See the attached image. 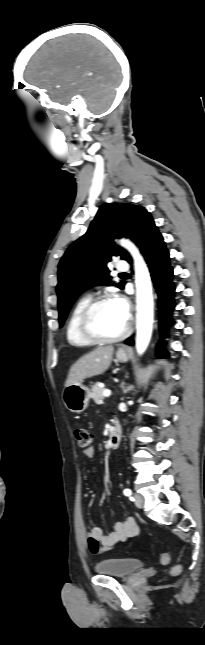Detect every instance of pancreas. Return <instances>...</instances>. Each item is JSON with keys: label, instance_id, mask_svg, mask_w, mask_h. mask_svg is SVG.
Here are the masks:
<instances>
[{"label": "pancreas", "instance_id": "cf45deb5", "mask_svg": "<svg viewBox=\"0 0 205 645\" xmlns=\"http://www.w3.org/2000/svg\"><path fill=\"white\" fill-rule=\"evenodd\" d=\"M104 390L105 388L100 387L99 383H96L95 385L92 386L91 397L96 404H100L104 399V395H103Z\"/></svg>", "mask_w": 205, "mask_h": 645}]
</instances>
